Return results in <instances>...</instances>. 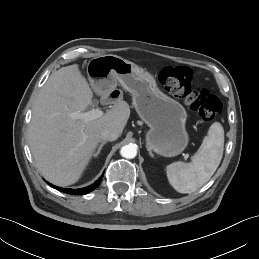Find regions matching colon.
Wrapping results in <instances>:
<instances>
[{
  "label": "colon",
  "mask_w": 259,
  "mask_h": 259,
  "mask_svg": "<svg viewBox=\"0 0 259 259\" xmlns=\"http://www.w3.org/2000/svg\"><path fill=\"white\" fill-rule=\"evenodd\" d=\"M162 87L174 97L183 99L203 121L215 120L222 111L220 100L206 90L193 87V72L185 66H166L159 73Z\"/></svg>",
  "instance_id": "5ec220e1"
}]
</instances>
